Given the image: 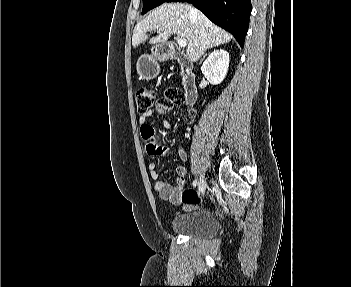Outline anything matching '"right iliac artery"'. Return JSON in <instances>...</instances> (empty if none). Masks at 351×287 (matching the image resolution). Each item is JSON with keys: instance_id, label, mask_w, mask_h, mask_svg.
I'll list each match as a JSON object with an SVG mask.
<instances>
[{"instance_id": "82829eb1", "label": "right iliac artery", "mask_w": 351, "mask_h": 287, "mask_svg": "<svg viewBox=\"0 0 351 287\" xmlns=\"http://www.w3.org/2000/svg\"><path fill=\"white\" fill-rule=\"evenodd\" d=\"M196 184H197V180H194V181H193V186L195 187Z\"/></svg>"}]
</instances>
